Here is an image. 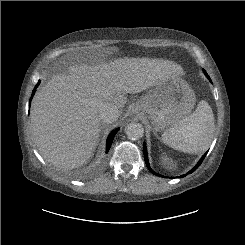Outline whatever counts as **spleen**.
Wrapping results in <instances>:
<instances>
[{"mask_svg": "<svg viewBox=\"0 0 245 245\" xmlns=\"http://www.w3.org/2000/svg\"><path fill=\"white\" fill-rule=\"evenodd\" d=\"M214 115L210 105L202 100L196 110L180 124L164 131L162 141L168 146L185 153L206 151L214 138Z\"/></svg>", "mask_w": 245, "mask_h": 245, "instance_id": "obj_1", "label": "spleen"}]
</instances>
